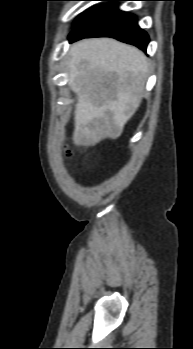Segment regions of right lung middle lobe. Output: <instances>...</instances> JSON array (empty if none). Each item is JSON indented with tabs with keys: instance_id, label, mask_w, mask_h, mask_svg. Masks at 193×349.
<instances>
[{
	"instance_id": "1",
	"label": "right lung middle lobe",
	"mask_w": 193,
	"mask_h": 349,
	"mask_svg": "<svg viewBox=\"0 0 193 349\" xmlns=\"http://www.w3.org/2000/svg\"><path fill=\"white\" fill-rule=\"evenodd\" d=\"M87 14H88V12H86V13H84V14H82V15H80V17L79 18H77V20L75 21V24H77V23H79L84 17H86L87 16Z\"/></svg>"
}]
</instances>
